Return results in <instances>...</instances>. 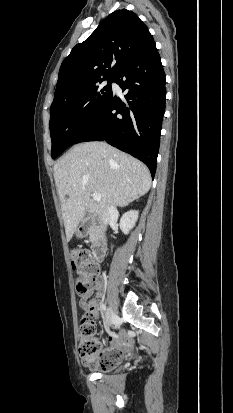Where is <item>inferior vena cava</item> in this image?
Returning <instances> with one entry per match:
<instances>
[{
    "instance_id": "1",
    "label": "inferior vena cava",
    "mask_w": 233,
    "mask_h": 413,
    "mask_svg": "<svg viewBox=\"0 0 233 413\" xmlns=\"http://www.w3.org/2000/svg\"><path fill=\"white\" fill-rule=\"evenodd\" d=\"M117 212V209L114 204L109 205L102 214L103 224L106 226L111 218V216Z\"/></svg>"
}]
</instances>
